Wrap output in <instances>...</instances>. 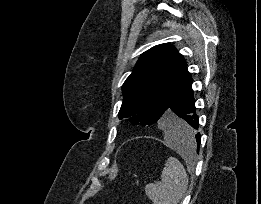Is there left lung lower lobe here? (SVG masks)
Returning a JSON list of instances; mask_svg holds the SVG:
<instances>
[{
	"label": "left lung lower lobe",
	"mask_w": 261,
	"mask_h": 204,
	"mask_svg": "<svg viewBox=\"0 0 261 204\" xmlns=\"http://www.w3.org/2000/svg\"><path fill=\"white\" fill-rule=\"evenodd\" d=\"M163 126L177 141L187 142L193 138L199 152L201 135L195 132L199 128V118L196 114L190 74L175 94L163 120Z\"/></svg>",
	"instance_id": "obj_1"
}]
</instances>
